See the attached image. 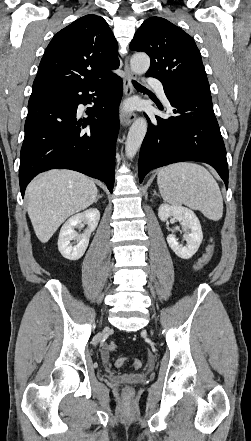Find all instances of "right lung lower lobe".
<instances>
[{
	"label": "right lung lower lobe",
	"instance_id": "obj_1",
	"mask_svg": "<svg viewBox=\"0 0 251 441\" xmlns=\"http://www.w3.org/2000/svg\"><path fill=\"white\" fill-rule=\"evenodd\" d=\"M122 85V79L113 73L91 85L31 94L20 153L22 197L38 173L53 168L99 179L112 193ZM90 91L97 96L94 106L88 108L87 118L78 120L77 107L90 103Z\"/></svg>",
	"mask_w": 251,
	"mask_h": 441
}]
</instances>
